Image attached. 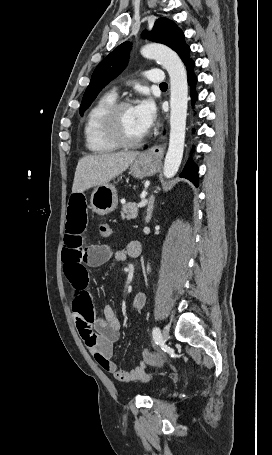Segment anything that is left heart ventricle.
Returning <instances> with one entry per match:
<instances>
[{"label": "left heart ventricle", "mask_w": 272, "mask_h": 455, "mask_svg": "<svg viewBox=\"0 0 272 455\" xmlns=\"http://www.w3.org/2000/svg\"><path fill=\"white\" fill-rule=\"evenodd\" d=\"M120 128L123 136L128 140L137 139L145 134L138 121L133 106L125 108L120 116Z\"/></svg>", "instance_id": "obj_1"}]
</instances>
